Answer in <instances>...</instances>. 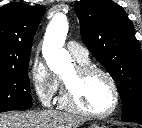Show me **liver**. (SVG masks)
<instances>
[{
	"mask_svg": "<svg viewBox=\"0 0 142 128\" xmlns=\"http://www.w3.org/2000/svg\"><path fill=\"white\" fill-rule=\"evenodd\" d=\"M82 119L56 110L0 114V128H77Z\"/></svg>",
	"mask_w": 142,
	"mask_h": 128,
	"instance_id": "obj_1",
	"label": "liver"
}]
</instances>
